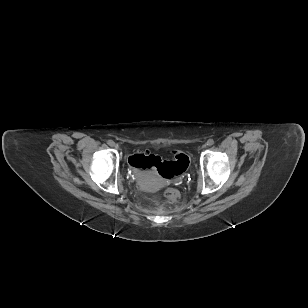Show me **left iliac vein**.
<instances>
[{"label":"left iliac vein","instance_id":"obj_1","mask_svg":"<svg viewBox=\"0 0 308 308\" xmlns=\"http://www.w3.org/2000/svg\"><path fill=\"white\" fill-rule=\"evenodd\" d=\"M206 147V144L205 145H203V148H205Z\"/></svg>","mask_w":308,"mask_h":308}]
</instances>
